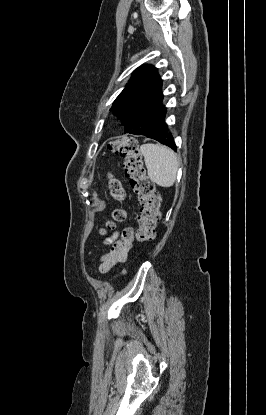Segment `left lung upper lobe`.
<instances>
[{
	"mask_svg": "<svg viewBox=\"0 0 266 415\" xmlns=\"http://www.w3.org/2000/svg\"><path fill=\"white\" fill-rule=\"evenodd\" d=\"M162 80L157 68L136 69L110 110L122 121L125 132L141 135L159 128L165 121Z\"/></svg>",
	"mask_w": 266,
	"mask_h": 415,
	"instance_id": "1",
	"label": "left lung upper lobe"
}]
</instances>
